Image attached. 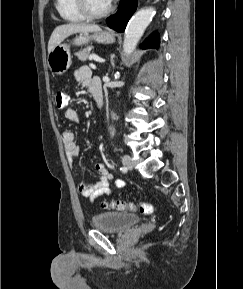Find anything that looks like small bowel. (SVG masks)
I'll return each mask as SVG.
<instances>
[{"label": "small bowel", "mask_w": 243, "mask_h": 289, "mask_svg": "<svg viewBox=\"0 0 243 289\" xmlns=\"http://www.w3.org/2000/svg\"><path fill=\"white\" fill-rule=\"evenodd\" d=\"M74 78L77 82L87 86L91 93L94 88L101 87L100 81L91 77V71L88 67L81 66L74 72ZM65 118L70 122L78 121V114L73 108L65 110ZM62 141L65 147V153L68 161L72 163L80 154V147L76 142L75 134L72 131L62 133ZM94 168L99 175L98 180L92 183H79V192L88 197L91 201L101 195H111L110 184L113 183L117 188H124L126 182L122 179L115 178L106 168L104 163L96 162Z\"/></svg>", "instance_id": "obj_1"}]
</instances>
